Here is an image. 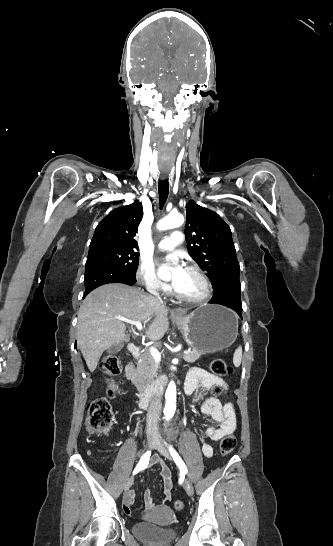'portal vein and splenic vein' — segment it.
I'll return each mask as SVG.
<instances>
[{"label":"portal vein and splenic vein","mask_w":333,"mask_h":546,"mask_svg":"<svg viewBox=\"0 0 333 546\" xmlns=\"http://www.w3.org/2000/svg\"><path fill=\"white\" fill-rule=\"evenodd\" d=\"M120 320H123L124 322L126 323H129V324H133L135 325L139 330H142V323L140 321H133V320H129V319H124V318H119ZM149 351H150V354L152 355V357L154 358L155 362H160L161 360V354L160 352L155 348V347H150L149 348ZM191 351L188 350V351H185L184 354H188L190 353Z\"/></svg>","instance_id":"obj_1"}]
</instances>
